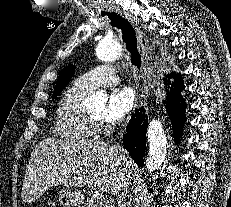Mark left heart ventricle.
<instances>
[{"label": "left heart ventricle", "mask_w": 231, "mask_h": 207, "mask_svg": "<svg viewBox=\"0 0 231 207\" xmlns=\"http://www.w3.org/2000/svg\"><path fill=\"white\" fill-rule=\"evenodd\" d=\"M103 113H104V110L101 109V110H99L98 112L93 113L92 116H93L94 118L100 119V118H102Z\"/></svg>", "instance_id": "left-heart-ventricle-1"}]
</instances>
